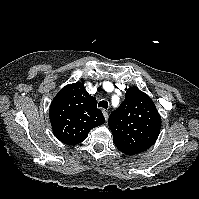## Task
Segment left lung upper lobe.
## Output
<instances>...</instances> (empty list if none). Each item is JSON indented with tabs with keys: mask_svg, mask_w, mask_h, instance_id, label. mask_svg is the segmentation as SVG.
<instances>
[{
	"mask_svg": "<svg viewBox=\"0 0 199 199\" xmlns=\"http://www.w3.org/2000/svg\"><path fill=\"white\" fill-rule=\"evenodd\" d=\"M108 123L114 144L128 155L149 149L161 128V118L154 102L135 87L127 90L125 100L111 113Z\"/></svg>",
	"mask_w": 199,
	"mask_h": 199,
	"instance_id": "obj_1",
	"label": "left lung upper lobe"
}]
</instances>
